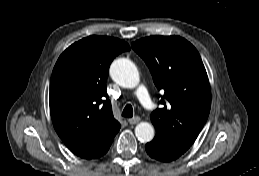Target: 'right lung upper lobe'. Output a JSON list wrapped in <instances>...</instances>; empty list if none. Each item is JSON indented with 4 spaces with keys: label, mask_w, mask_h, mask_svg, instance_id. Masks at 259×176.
Returning <instances> with one entry per match:
<instances>
[{
    "label": "right lung upper lobe",
    "mask_w": 259,
    "mask_h": 176,
    "mask_svg": "<svg viewBox=\"0 0 259 176\" xmlns=\"http://www.w3.org/2000/svg\"><path fill=\"white\" fill-rule=\"evenodd\" d=\"M130 50L120 39L89 36L68 47L57 60L50 81L54 128L77 156L93 159L111 145L120 124L107 99L106 81L112 60Z\"/></svg>",
    "instance_id": "cb5924a9"
}]
</instances>
